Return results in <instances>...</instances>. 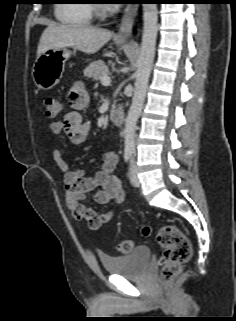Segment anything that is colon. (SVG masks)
Returning a JSON list of instances; mask_svg holds the SVG:
<instances>
[{"label":"colon","instance_id":"1","mask_svg":"<svg viewBox=\"0 0 236 321\" xmlns=\"http://www.w3.org/2000/svg\"><path fill=\"white\" fill-rule=\"evenodd\" d=\"M45 113L49 118H56L61 111V103L54 97L44 100ZM144 236H149L151 228L144 225L141 228ZM157 243L163 248V264L161 277L165 283L171 282L182 271L183 265L189 260L192 247L189 239L175 226H161L155 233ZM133 248L130 240H122L117 243L116 249L119 253L127 254Z\"/></svg>","mask_w":236,"mask_h":321}]
</instances>
